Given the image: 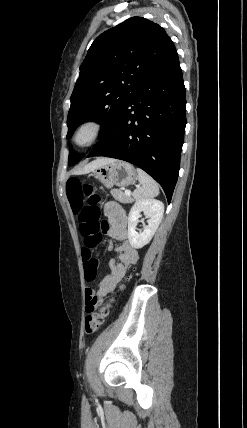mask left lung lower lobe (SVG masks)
Returning a JSON list of instances; mask_svg holds the SVG:
<instances>
[{
    "instance_id": "0a47b994",
    "label": "left lung lower lobe",
    "mask_w": 247,
    "mask_h": 428,
    "mask_svg": "<svg viewBox=\"0 0 247 428\" xmlns=\"http://www.w3.org/2000/svg\"><path fill=\"white\" fill-rule=\"evenodd\" d=\"M185 95L175 50L126 101L88 157H112L138 166L162 186L170 203L186 126Z\"/></svg>"
}]
</instances>
